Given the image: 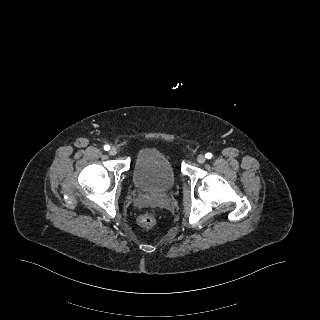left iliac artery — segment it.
<instances>
[{
	"label": "left iliac artery",
	"mask_w": 320,
	"mask_h": 320,
	"mask_svg": "<svg viewBox=\"0 0 320 320\" xmlns=\"http://www.w3.org/2000/svg\"><path fill=\"white\" fill-rule=\"evenodd\" d=\"M205 157H206L207 159H211V158H212V154L208 152V153L205 154Z\"/></svg>",
	"instance_id": "1"
}]
</instances>
